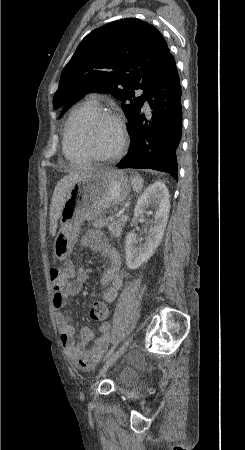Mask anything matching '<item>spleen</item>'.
<instances>
[{"label":"spleen","instance_id":"3e777b00","mask_svg":"<svg viewBox=\"0 0 245 450\" xmlns=\"http://www.w3.org/2000/svg\"><path fill=\"white\" fill-rule=\"evenodd\" d=\"M132 188L135 192H140L143 188V179L139 175H135L133 177H130Z\"/></svg>","mask_w":245,"mask_h":450}]
</instances>
